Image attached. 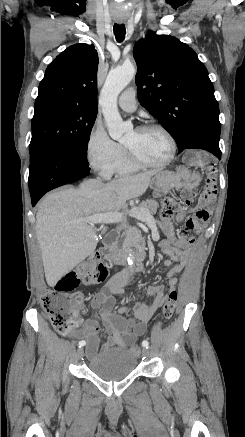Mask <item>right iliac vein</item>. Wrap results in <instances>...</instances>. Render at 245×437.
<instances>
[{
	"label": "right iliac vein",
	"instance_id": "63e3f726",
	"mask_svg": "<svg viewBox=\"0 0 245 437\" xmlns=\"http://www.w3.org/2000/svg\"><path fill=\"white\" fill-rule=\"evenodd\" d=\"M83 353H84L83 348L79 347L76 352L77 358H81L83 356Z\"/></svg>",
	"mask_w": 245,
	"mask_h": 437
}]
</instances>
